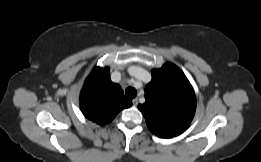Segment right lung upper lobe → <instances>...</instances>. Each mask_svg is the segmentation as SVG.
<instances>
[{
  "label": "right lung upper lobe",
  "instance_id": "cb5924a9",
  "mask_svg": "<svg viewBox=\"0 0 261 162\" xmlns=\"http://www.w3.org/2000/svg\"><path fill=\"white\" fill-rule=\"evenodd\" d=\"M132 105L124 97L122 88L110 80L109 68L97 67L86 79L80 94V108L84 116L105 125L124 108Z\"/></svg>",
  "mask_w": 261,
  "mask_h": 162
}]
</instances>
